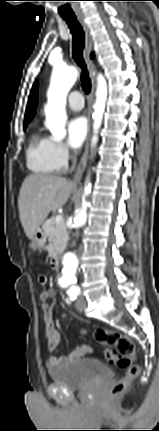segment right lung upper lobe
<instances>
[{
	"label": "right lung upper lobe",
	"mask_w": 159,
	"mask_h": 431,
	"mask_svg": "<svg viewBox=\"0 0 159 431\" xmlns=\"http://www.w3.org/2000/svg\"><path fill=\"white\" fill-rule=\"evenodd\" d=\"M94 57V54H91V58ZM37 88H38V83L36 82L30 92V96L28 98V105L26 108V113H25V120L26 122H30L32 120V118L34 117L35 111H36V102H37ZM27 125V123H24V126Z\"/></svg>",
	"instance_id": "right-lung-upper-lobe-1"
}]
</instances>
